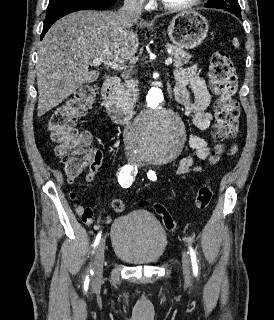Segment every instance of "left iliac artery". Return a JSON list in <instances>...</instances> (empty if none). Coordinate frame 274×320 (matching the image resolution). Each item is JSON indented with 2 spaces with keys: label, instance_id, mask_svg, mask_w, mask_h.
<instances>
[{
  "label": "left iliac artery",
  "instance_id": "1",
  "mask_svg": "<svg viewBox=\"0 0 274 320\" xmlns=\"http://www.w3.org/2000/svg\"><path fill=\"white\" fill-rule=\"evenodd\" d=\"M147 176L152 181H155L157 179L155 172L152 170L148 171ZM189 251H190V257H191V262H192V267H193V274L195 276H197L198 275V264H197L198 260H197L195 251L191 246H189Z\"/></svg>",
  "mask_w": 274,
  "mask_h": 320
}]
</instances>
